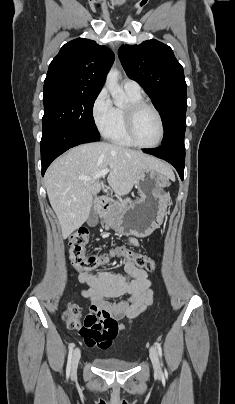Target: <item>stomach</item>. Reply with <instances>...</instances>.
Here are the masks:
<instances>
[{
  "label": "stomach",
  "mask_w": 235,
  "mask_h": 404,
  "mask_svg": "<svg viewBox=\"0 0 235 404\" xmlns=\"http://www.w3.org/2000/svg\"><path fill=\"white\" fill-rule=\"evenodd\" d=\"M169 184V177L160 171H143L135 183L139 199L118 210L110 226L121 234L139 238L152 234L163 223L169 199L164 189Z\"/></svg>",
  "instance_id": "1"
}]
</instances>
